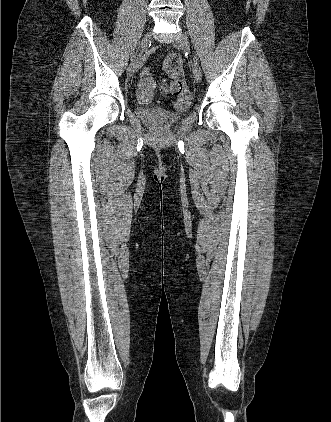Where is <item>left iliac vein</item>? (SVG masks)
<instances>
[{
  "label": "left iliac vein",
  "mask_w": 331,
  "mask_h": 422,
  "mask_svg": "<svg viewBox=\"0 0 331 422\" xmlns=\"http://www.w3.org/2000/svg\"><path fill=\"white\" fill-rule=\"evenodd\" d=\"M173 46L178 49L189 50L190 43L186 35L182 34L173 40ZM193 76L197 82H200L202 79V71L200 66L197 63L193 64Z\"/></svg>",
  "instance_id": "1"
}]
</instances>
